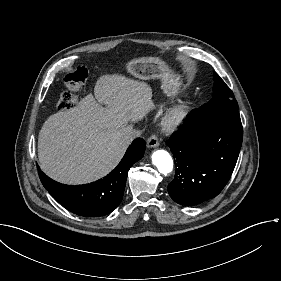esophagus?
<instances>
[{
  "label": "esophagus",
  "mask_w": 281,
  "mask_h": 281,
  "mask_svg": "<svg viewBox=\"0 0 281 281\" xmlns=\"http://www.w3.org/2000/svg\"><path fill=\"white\" fill-rule=\"evenodd\" d=\"M159 145V139L157 137L156 134H152L150 136V138L148 139V143H147V146L149 148H154V147H157Z\"/></svg>",
  "instance_id": "1"
}]
</instances>
